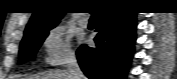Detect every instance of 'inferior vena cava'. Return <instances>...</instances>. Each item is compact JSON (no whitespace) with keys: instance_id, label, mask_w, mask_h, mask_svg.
<instances>
[{"instance_id":"602c4592","label":"inferior vena cava","mask_w":177,"mask_h":79,"mask_svg":"<svg viewBox=\"0 0 177 79\" xmlns=\"http://www.w3.org/2000/svg\"><path fill=\"white\" fill-rule=\"evenodd\" d=\"M66 69L69 75V79H85V76L83 75L78 65L76 55L74 53H71L68 56Z\"/></svg>"}]
</instances>
